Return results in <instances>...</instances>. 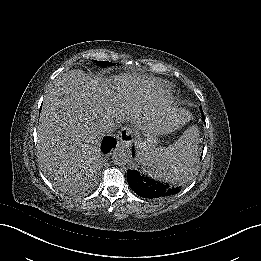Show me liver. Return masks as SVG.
I'll return each instance as SVG.
<instances>
[{"label":"liver","mask_w":261,"mask_h":261,"mask_svg":"<svg viewBox=\"0 0 261 261\" xmlns=\"http://www.w3.org/2000/svg\"><path fill=\"white\" fill-rule=\"evenodd\" d=\"M138 96L116 78L91 77L81 70L65 74L46 95L40 114L38 160L43 171L57 185L69 183L96 166L108 123L128 119L146 130L157 110L148 111ZM171 129L168 125L153 130Z\"/></svg>","instance_id":"1"}]
</instances>
